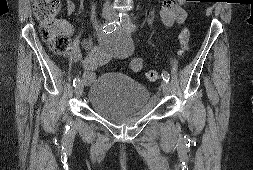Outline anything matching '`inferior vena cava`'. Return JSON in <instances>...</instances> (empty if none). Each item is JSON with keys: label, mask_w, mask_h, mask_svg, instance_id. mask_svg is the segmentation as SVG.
I'll return each mask as SVG.
<instances>
[{"label": "inferior vena cava", "mask_w": 253, "mask_h": 170, "mask_svg": "<svg viewBox=\"0 0 253 170\" xmlns=\"http://www.w3.org/2000/svg\"><path fill=\"white\" fill-rule=\"evenodd\" d=\"M104 8H105V9H107V10H109V9H110V3H109V1H108V0L105 2V4H104Z\"/></svg>", "instance_id": "obj_1"}]
</instances>
